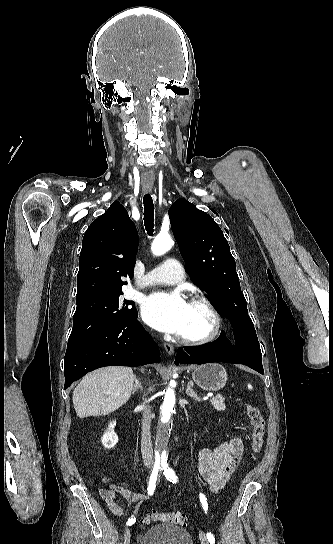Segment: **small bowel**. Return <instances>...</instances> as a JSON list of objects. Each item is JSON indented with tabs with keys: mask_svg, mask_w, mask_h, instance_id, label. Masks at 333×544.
Wrapping results in <instances>:
<instances>
[{
	"mask_svg": "<svg viewBox=\"0 0 333 544\" xmlns=\"http://www.w3.org/2000/svg\"><path fill=\"white\" fill-rule=\"evenodd\" d=\"M242 455L243 443L239 437L224 441L214 449L201 448L199 450L198 470L212 492H218L225 486L240 464ZM99 494L110 512L118 517L124 516L126 511L116 500L117 495L127 501L136 502L137 505L131 515L135 520L142 503L150 498L147 493L134 492L117 484L100 489Z\"/></svg>",
	"mask_w": 333,
	"mask_h": 544,
	"instance_id": "c3829d8e",
	"label": "small bowel"
}]
</instances>
